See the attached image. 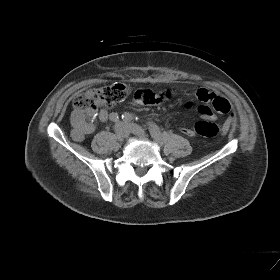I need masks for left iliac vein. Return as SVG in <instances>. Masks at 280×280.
Listing matches in <instances>:
<instances>
[{
  "mask_svg": "<svg viewBox=\"0 0 280 280\" xmlns=\"http://www.w3.org/2000/svg\"><path fill=\"white\" fill-rule=\"evenodd\" d=\"M128 126V128L130 129V131L140 137H146V133L144 131V129L142 127H140L137 124L134 123H128L126 124Z\"/></svg>",
  "mask_w": 280,
  "mask_h": 280,
  "instance_id": "obj_1",
  "label": "left iliac vein"
}]
</instances>
